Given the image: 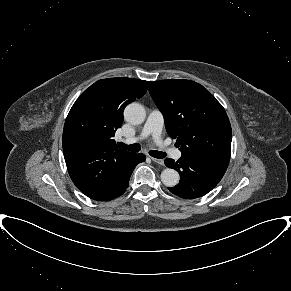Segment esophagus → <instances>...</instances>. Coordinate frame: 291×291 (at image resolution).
<instances>
[{
    "mask_svg": "<svg viewBox=\"0 0 291 291\" xmlns=\"http://www.w3.org/2000/svg\"><path fill=\"white\" fill-rule=\"evenodd\" d=\"M152 161L157 163V164H160V165H163L164 164V161L163 159H158V158H154V157H151Z\"/></svg>",
    "mask_w": 291,
    "mask_h": 291,
    "instance_id": "34e87169",
    "label": "esophagus"
}]
</instances>
